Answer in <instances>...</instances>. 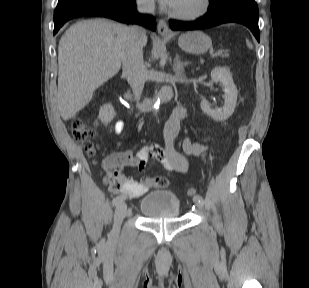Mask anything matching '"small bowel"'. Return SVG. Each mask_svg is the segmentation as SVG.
<instances>
[{"mask_svg": "<svg viewBox=\"0 0 309 288\" xmlns=\"http://www.w3.org/2000/svg\"><path fill=\"white\" fill-rule=\"evenodd\" d=\"M185 113L186 109L183 106L177 107L173 110L164 128V147L151 144L142 148L136 154L132 151L116 152L112 155L111 159L121 166H133L138 170L143 169L147 162L152 159L161 164L168 171L187 173L190 170V165L186 155L199 156L207 149V146L193 142L189 138H185L182 143L184 153L176 150L174 142L180 131V124ZM114 127L115 131L119 133L123 128V122L120 120L116 121ZM152 186V183L144 185L141 182L136 181L134 178L129 177L123 182L118 190L124 192L125 195L130 197H140L147 193Z\"/></svg>", "mask_w": 309, "mask_h": 288, "instance_id": "c3829d8e", "label": "small bowel"}]
</instances>
